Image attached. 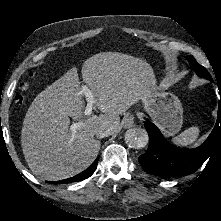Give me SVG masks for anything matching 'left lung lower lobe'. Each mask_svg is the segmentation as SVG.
<instances>
[{
  "mask_svg": "<svg viewBox=\"0 0 221 221\" xmlns=\"http://www.w3.org/2000/svg\"><path fill=\"white\" fill-rule=\"evenodd\" d=\"M220 104L217 122L212 133L201 146L195 149L174 147L166 141L153 123L146 120L145 128L149 134L150 144L147 151L138 158L142 168L149 174L164 178L183 176L195 172L216 148H221Z\"/></svg>",
  "mask_w": 221,
  "mask_h": 221,
  "instance_id": "obj_1",
  "label": "left lung lower lobe"
}]
</instances>
